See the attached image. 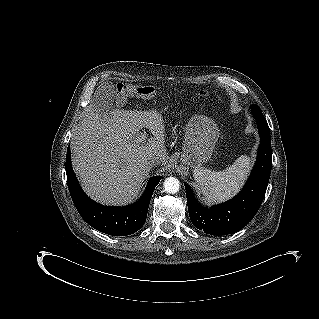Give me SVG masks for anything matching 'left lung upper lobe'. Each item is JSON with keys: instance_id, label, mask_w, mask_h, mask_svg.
<instances>
[{"instance_id": "left-lung-upper-lobe-1", "label": "left lung upper lobe", "mask_w": 319, "mask_h": 319, "mask_svg": "<svg viewBox=\"0 0 319 319\" xmlns=\"http://www.w3.org/2000/svg\"><path fill=\"white\" fill-rule=\"evenodd\" d=\"M252 111H253V115L257 121H266L259 106L253 105Z\"/></svg>"}]
</instances>
